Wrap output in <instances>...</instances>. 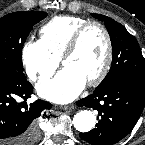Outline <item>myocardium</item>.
<instances>
[{"label":"myocardium","mask_w":145,"mask_h":145,"mask_svg":"<svg viewBox=\"0 0 145 145\" xmlns=\"http://www.w3.org/2000/svg\"><path fill=\"white\" fill-rule=\"evenodd\" d=\"M93 26L98 27L104 34L106 40V55H105L104 63L99 73L93 79L86 82L87 86L89 87L98 86L106 78V76L108 75L111 69V65L113 61V43L108 29L98 21H94V20L87 21L86 23L82 24L74 31L72 37L70 38L66 46V49L64 50L63 54L60 57L61 64L64 65L65 60L76 51L82 35L85 33V31L88 28Z\"/></svg>","instance_id":"myocardium-1"}]
</instances>
